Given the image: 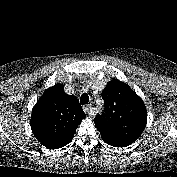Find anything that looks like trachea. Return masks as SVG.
Instances as JSON below:
<instances>
[{"mask_svg":"<svg viewBox=\"0 0 177 177\" xmlns=\"http://www.w3.org/2000/svg\"><path fill=\"white\" fill-rule=\"evenodd\" d=\"M88 102H89V96H88V94H86V93L82 94L81 97H80V103L83 104V105H85Z\"/></svg>","mask_w":177,"mask_h":177,"instance_id":"1","label":"trachea"}]
</instances>
